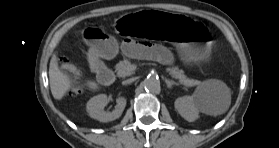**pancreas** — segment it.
I'll return each mask as SVG.
<instances>
[{
	"label": "pancreas",
	"mask_w": 279,
	"mask_h": 148,
	"mask_svg": "<svg viewBox=\"0 0 279 148\" xmlns=\"http://www.w3.org/2000/svg\"><path fill=\"white\" fill-rule=\"evenodd\" d=\"M117 75L119 77H126L130 76L134 73V70L132 69V64L129 60L124 59L123 61H120L117 66ZM166 71L175 79H178L179 82L183 85L185 81H189L192 86L200 84L198 80L194 79H189L187 76L184 74V71L179 69L177 66L167 68Z\"/></svg>",
	"instance_id": "obj_1"
}]
</instances>
